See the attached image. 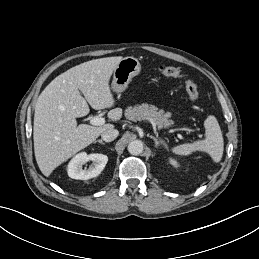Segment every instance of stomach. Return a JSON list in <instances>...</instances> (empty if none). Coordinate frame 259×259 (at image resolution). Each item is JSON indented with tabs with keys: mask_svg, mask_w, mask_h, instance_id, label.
Here are the masks:
<instances>
[{
	"mask_svg": "<svg viewBox=\"0 0 259 259\" xmlns=\"http://www.w3.org/2000/svg\"><path fill=\"white\" fill-rule=\"evenodd\" d=\"M141 65L137 58H123L113 71L112 90L122 93L128 87L132 78L140 73Z\"/></svg>",
	"mask_w": 259,
	"mask_h": 259,
	"instance_id": "1",
	"label": "stomach"
}]
</instances>
